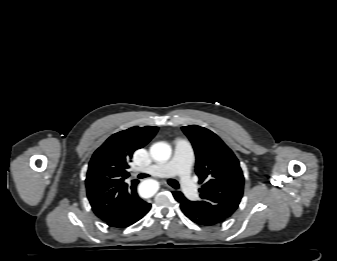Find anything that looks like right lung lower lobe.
<instances>
[{
    "mask_svg": "<svg viewBox=\"0 0 337 261\" xmlns=\"http://www.w3.org/2000/svg\"><path fill=\"white\" fill-rule=\"evenodd\" d=\"M150 208L151 204L140 199L138 195L133 194L123 203L119 213L105 220V223L114 228H126L145 216Z\"/></svg>",
    "mask_w": 337,
    "mask_h": 261,
    "instance_id": "1",
    "label": "right lung lower lobe"
}]
</instances>
